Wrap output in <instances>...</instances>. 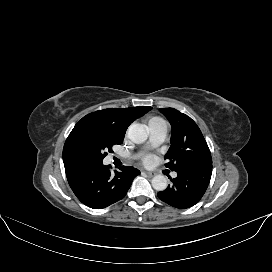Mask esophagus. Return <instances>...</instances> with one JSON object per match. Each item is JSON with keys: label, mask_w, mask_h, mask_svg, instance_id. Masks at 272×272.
<instances>
[{"label": "esophagus", "mask_w": 272, "mask_h": 272, "mask_svg": "<svg viewBox=\"0 0 272 272\" xmlns=\"http://www.w3.org/2000/svg\"><path fill=\"white\" fill-rule=\"evenodd\" d=\"M148 177H153L154 175H155V173H153V172H147V171H145L144 172Z\"/></svg>", "instance_id": "obj_1"}]
</instances>
